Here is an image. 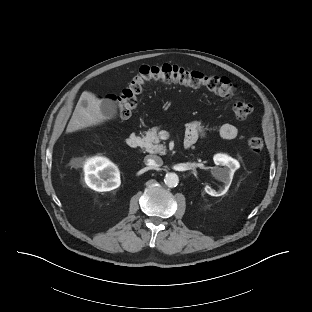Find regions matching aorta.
I'll use <instances>...</instances> for the list:
<instances>
[{
  "label": "aorta",
  "instance_id": "762f6f07",
  "mask_svg": "<svg viewBox=\"0 0 312 312\" xmlns=\"http://www.w3.org/2000/svg\"><path fill=\"white\" fill-rule=\"evenodd\" d=\"M165 184L170 187H176L179 183V177L176 173H167L164 178Z\"/></svg>",
  "mask_w": 312,
  "mask_h": 312
}]
</instances>
